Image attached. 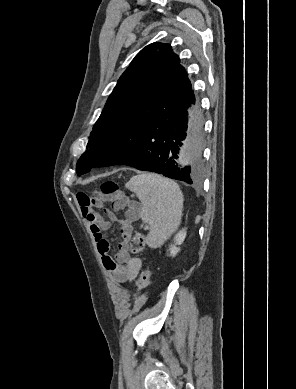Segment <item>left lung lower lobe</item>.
<instances>
[{
  "mask_svg": "<svg viewBox=\"0 0 296 389\" xmlns=\"http://www.w3.org/2000/svg\"><path fill=\"white\" fill-rule=\"evenodd\" d=\"M148 100L104 135L95 149L99 167L127 165L192 184L199 175L202 126L186 72L167 79ZM185 138L189 163L178 168Z\"/></svg>",
  "mask_w": 296,
  "mask_h": 389,
  "instance_id": "0a47b994",
  "label": "left lung lower lobe"
}]
</instances>
